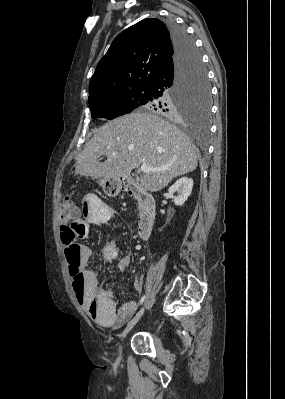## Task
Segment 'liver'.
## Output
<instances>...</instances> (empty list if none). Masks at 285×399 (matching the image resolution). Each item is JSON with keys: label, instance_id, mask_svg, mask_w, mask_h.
<instances>
[{"label": "liver", "instance_id": "obj_1", "mask_svg": "<svg viewBox=\"0 0 285 399\" xmlns=\"http://www.w3.org/2000/svg\"><path fill=\"white\" fill-rule=\"evenodd\" d=\"M113 153L116 155L113 156ZM107 159L99 162V157ZM199 151L175 125L137 111L109 121L97 130L75 162V174L93 179H118L143 164L164 171L144 172L141 186L157 192L174 178L193 172Z\"/></svg>", "mask_w": 285, "mask_h": 399}]
</instances>
